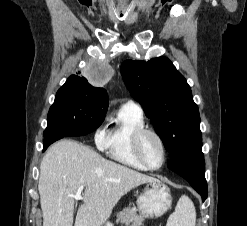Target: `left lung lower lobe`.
Returning <instances> with one entry per match:
<instances>
[{
	"instance_id": "left-lung-lower-lobe-1",
	"label": "left lung lower lobe",
	"mask_w": 247,
	"mask_h": 226,
	"mask_svg": "<svg viewBox=\"0 0 247 226\" xmlns=\"http://www.w3.org/2000/svg\"><path fill=\"white\" fill-rule=\"evenodd\" d=\"M168 168L186 179L201 195L202 201L207 198L204 155L200 149L171 158Z\"/></svg>"
}]
</instances>
